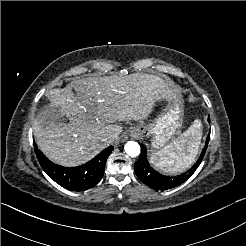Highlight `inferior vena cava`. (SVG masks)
I'll return each instance as SVG.
<instances>
[{"mask_svg":"<svg viewBox=\"0 0 246 246\" xmlns=\"http://www.w3.org/2000/svg\"><path fill=\"white\" fill-rule=\"evenodd\" d=\"M108 137L115 139L117 137V134L116 133H111V134L108 135Z\"/></svg>","mask_w":246,"mask_h":246,"instance_id":"1","label":"inferior vena cava"}]
</instances>
